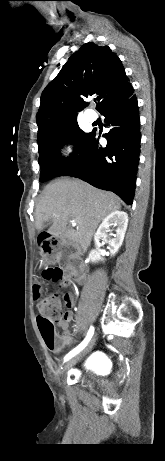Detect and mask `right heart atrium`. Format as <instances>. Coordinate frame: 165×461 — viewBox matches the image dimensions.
<instances>
[{"label":"right heart atrium","instance_id":"1","mask_svg":"<svg viewBox=\"0 0 165 461\" xmlns=\"http://www.w3.org/2000/svg\"><path fill=\"white\" fill-rule=\"evenodd\" d=\"M73 144L69 141L63 142L59 147V157L62 160L68 159L73 153Z\"/></svg>","mask_w":165,"mask_h":461}]
</instances>
